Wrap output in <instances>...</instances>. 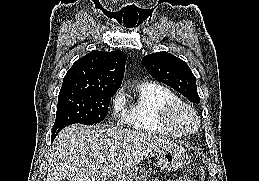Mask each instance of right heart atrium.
Masks as SVG:
<instances>
[{
	"label": "right heart atrium",
	"instance_id": "obj_1",
	"mask_svg": "<svg viewBox=\"0 0 259 181\" xmlns=\"http://www.w3.org/2000/svg\"><path fill=\"white\" fill-rule=\"evenodd\" d=\"M125 97L122 92H118L111 101V115L112 118L117 122H121L122 114L125 111Z\"/></svg>",
	"mask_w": 259,
	"mask_h": 181
}]
</instances>
